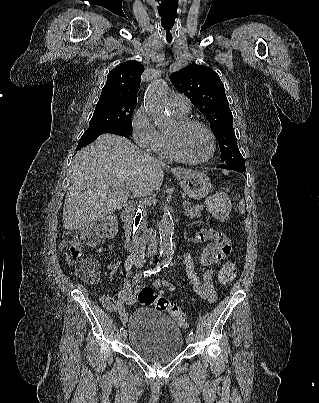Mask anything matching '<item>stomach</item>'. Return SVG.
Segmentation results:
<instances>
[{
    "label": "stomach",
    "mask_w": 319,
    "mask_h": 403,
    "mask_svg": "<svg viewBox=\"0 0 319 403\" xmlns=\"http://www.w3.org/2000/svg\"><path fill=\"white\" fill-rule=\"evenodd\" d=\"M177 179L185 194L194 200L206 197L212 189L210 179L201 172L181 171Z\"/></svg>",
    "instance_id": "0dacf381"
}]
</instances>
